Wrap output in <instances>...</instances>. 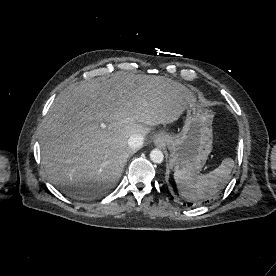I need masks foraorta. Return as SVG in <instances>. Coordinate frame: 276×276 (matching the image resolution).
Listing matches in <instances>:
<instances>
[{
	"instance_id": "aorta-1",
	"label": "aorta",
	"mask_w": 276,
	"mask_h": 276,
	"mask_svg": "<svg viewBox=\"0 0 276 276\" xmlns=\"http://www.w3.org/2000/svg\"><path fill=\"white\" fill-rule=\"evenodd\" d=\"M150 159L154 162V163H157V164H160L163 162L164 160V154L161 150L159 149H153L151 152H150Z\"/></svg>"
}]
</instances>
